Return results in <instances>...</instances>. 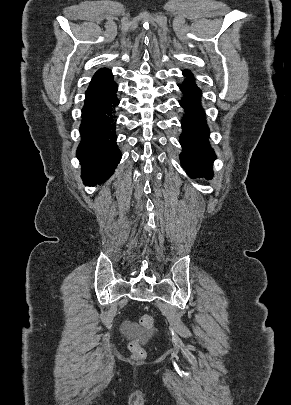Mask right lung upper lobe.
Masks as SVG:
<instances>
[{
	"mask_svg": "<svg viewBox=\"0 0 291 405\" xmlns=\"http://www.w3.org/2000/svg\"><path fill=\"white\" fill-rule=\"evenodd\" d=\"M109 73H111L110 70L102 68L96 72V74L93 76V79L99 78V77L104 76Z\"/></svg>",
	"mask_w": 291,
	"mask_h": 405,
	"instance_id": "1",
	"label": "right lung upper lobe"
}]
</instances>
